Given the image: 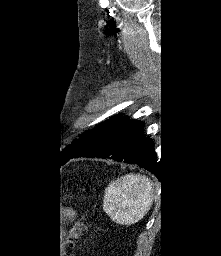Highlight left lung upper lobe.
Returning <instances> with one entry per match:
<instances>
[{
  "label": "left lung upper lobe",
  "mask_w": 221,
  "mask_h": 256,
  "mask_svg": "<svg viewBox=\"0 0 221 256\" xmlns=\"http://www.w3.org/2000/svg\"><path fill=\"white\" fill-rule=\"evenodd\" d=\"M114 118V117H113ZM104 124L101 123L96 127L94 130H89L84 132L78 139H75L73 143L68 145L67 147L64 148L62 151V154L60 155L61 162H66L69 160V158L75 153V151L78 149V147L87 139L89 138L98 128Z\"/></svg>",
  "instance_id": "obj_1"
}]
</instances>
